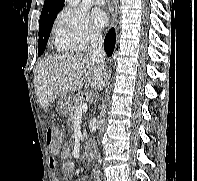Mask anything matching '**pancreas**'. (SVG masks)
Returning a JSON list of instances; mask_svg holds the SVG:
<instances>
[{"label":"pancreas","instance_id":"obj_1","mask_svg":"<svg viewBox=\"0 0 197 181\" xmlns=\"http://www.w3.org/2000/svg\"><path fill=\"white\" fill-rule=\"evenodd\" d=\"M80 96H81V94L80 93H78L75 97H74V99H73V104H72V106H71V109H70V112H69V120L70 121H72L73 119H74V117H75V115H76V112H77V109H78V107L80 106V104L82 103L81 101H80ZM83 135L86 137L87 135H86V130L84 129L83 130Z\"/></svg>","mask_w":197,"mask_h":181}]
</instances>
